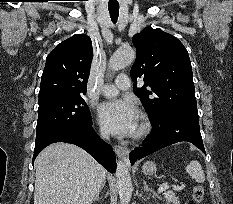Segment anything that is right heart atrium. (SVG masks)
Masks as SVG:
<instances>
[{"label": "right heart atrium", "instance_id": "1", "mask_svg": "<svg viewBox=\"0 0 233 204\" xmlns=\"http://www.w3.org/2000/svg\"><path fill=\"white\" fill-rule=\"evenodd\" d=\"M101 137H105V133L103 131L100 132Z\"/></svg>", "mask_w": 233, "mask_h": 204}]
</instances>
